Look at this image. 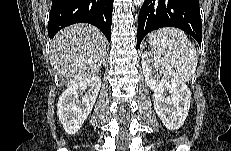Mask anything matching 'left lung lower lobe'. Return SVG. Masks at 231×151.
Returning a JSON list of instances; mask_svg holds the SVG:
<instances>
[{
	"label": "left lung lower lobe",
	"instance_id": "0a47b994",
	"mask_svg": "<svg viewBox=\"0 0 231 151\" xmlns=\"http://www.w3.org/2000/svg\"><path fill=\"white\" fill-rule=\"evenodd\" d=\"M179 28L201 46L202 23L198 0H145L139 13L137 46L151 31L162 27Z\"/></svg>",
	"mask_w": 231,
	"mask_h": 151
}]
</instances>
